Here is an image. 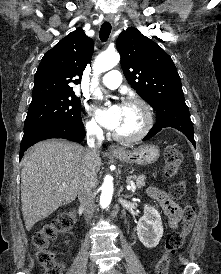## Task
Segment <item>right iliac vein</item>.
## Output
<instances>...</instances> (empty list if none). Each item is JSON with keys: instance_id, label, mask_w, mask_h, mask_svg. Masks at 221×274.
Wrapping results in <instances>:
<instances>
[{"instance_id": "63e3f726", "label": "right iliac vein", "mask_w": 221, "mask_h": 274, "mask_svg": "<svg viewBox=\"0 0 221 274\" xmlns=\"http://www.w3.org/2000/svg\"><path fill=\"white\" fill-rule=\"evenodd\" d=\"M90 274H94V270H91Z\"/></svg>"}]
</instances>
